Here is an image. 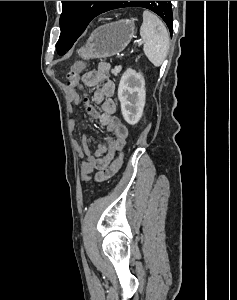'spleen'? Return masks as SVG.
<instances>
[{"label":"spleen","instance_id":"3e777b00","mask_svg":"<svg viewBox=\"0 0 237 300\" xmlns=\"http://www.w3.org/2000/svg\"><path fill=\"white\" fill-rule=\"evenodd\" d=\"M140 37L144 43L143 51L154 67L164 63L169 49V33L157 15L144 11Z\"/></svg>","mask_w":237,"mask_h":300}]
</instances>
